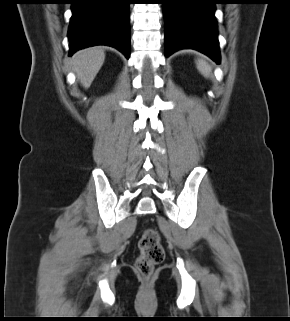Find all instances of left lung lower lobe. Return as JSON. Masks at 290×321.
Listing matches in <instances>:
<instances>
[{
	"label": "left lung lower lobe",
	"instance_id": "0a47b994",
	"mask_svg": "<svg viewBox=\"0 0 290 321\" xmlns=\"http://www.w3.org/2000/svg\"><path fill=\"white\" fill-rule=\"evenodd\" d=\"M165 56L183 48L220 63L215 4L218 0H163Z\"/></svg>",
	"mask_w": 290,
	"mask_h": 321
}]
</instances>
